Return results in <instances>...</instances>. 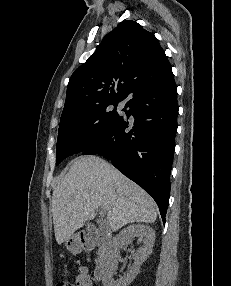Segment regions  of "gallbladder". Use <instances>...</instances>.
<instances>
[{"label": "gallbladder", "mask_w": 231, "mask_h": 286, "mask_svg": "<svg viewBox=\"0 0 231 286\" xmlns=\"http://www.w3.org/2000/svg\"><path fill=\"white\" fill-rule=\"evenodd\" d=\"M97 231L98 230H97V228H95L94 225H92V224L89 225V229H88L89 234L97 233Z\"/></svg>", "instance_id": "gallbladder-1"}]
</instances>
